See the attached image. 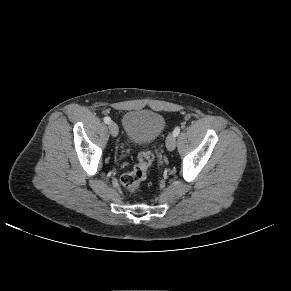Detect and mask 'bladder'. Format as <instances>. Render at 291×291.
I'll return each mask as SVG.
<instances>
[{
	"mask_svg": "<svg viewBox=\"0 0 291 291\" xmlns=\"http://www.w3.org/2000/svg\"><path fill=\"white\" fill-rule=\"evenodd\" d=\"M165 127L163 116L150 110H131L123 116L127 140L137 146L148 145L158 138Z\"/></svg>",
	"mask_w": 291,
	"mask_h": 291,
	"instance_id": "1",
	"label": "bladder"
}]
</instances>
